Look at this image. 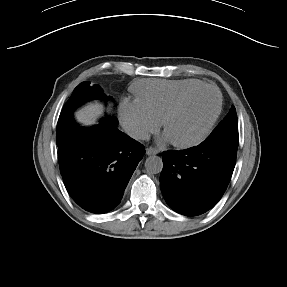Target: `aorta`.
Here are the masks:
<instances>
[{"label": "aorta", "mask_w": 287, "mask_h": 287, "mask_svg": "<svg viewBox=\"0 0 287 287\" xmlns=\"http://www.w3.org/2000/svg\"><path fill=\"white\" fill-rule=\"evenodd\" d=\"M146 171L150 174H158L163 169V162L159 156H149L145 161Z\"/></svg>", "instance_id": "aorta-1"}]
</instances>
